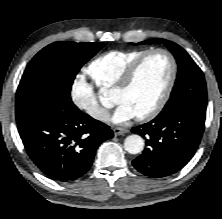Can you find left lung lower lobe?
<instances>
[{"instance_id":"left-lung-lower-lobe-1","label":"left lung lower lobe","mask_w":222,"mask_h":219,"mask_svg":"<svg viewBox=\"0 0 222 219\" xmlns=\"http://www.w3.org/2000/svg\"><path fill=\"white\" fill-rule=\"evenodd\" d=\"M206 107L177 102L164 108L152 121L132 128L146 139L143 153L133 166L149 177H164L182 169L193 157L200 143Z\"/></svg>"}]
</instances>
